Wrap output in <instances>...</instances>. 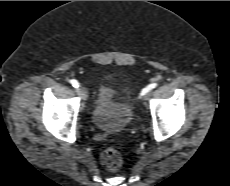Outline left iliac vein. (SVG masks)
I'll list each match as a JSON object with an SVG mask.
<instances>
[{
  "mask_svg": "<svg viewBox=\"0 0 230 186\" xmlns=\"http://www.w3.org/2000/svg\"><path fill=\"white\" fill-rule=\"evenodd\" d=\"M140 97H143L145 100H148V98H149V93L144 94V96L141 94Z\"/></svg>",
  "mask_w": 230,
  "mask_h": 186,
  "instance_id": "obj_1",
  "label": "left iliac vein"
}]
</instances>
